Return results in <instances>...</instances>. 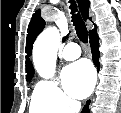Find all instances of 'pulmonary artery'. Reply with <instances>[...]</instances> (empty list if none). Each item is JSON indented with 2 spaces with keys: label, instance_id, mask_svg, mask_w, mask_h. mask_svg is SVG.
<instances>
[{
  "label": "pulmonary artery",
  "instance_id": "1",
  "mask_svg": "<svg viewBox=\"0 0 121 113\" xmlns=\"http://www.w3.org/2000/svg\"><path fill=\"white\" fill-rule=\"evenodd\" d=\"M80 55H81V49L74 42L68 43L62 50V57L67 61L75 60Z\"/></svg>",
  "mask_w": 121,
  "mask_h": 113
}]
</instances>
